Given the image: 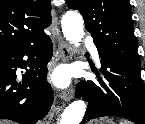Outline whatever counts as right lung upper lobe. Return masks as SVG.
Returning <instances> with one entry per match:
<instances>
[{
    "label": "right lung upper lobe",
    "instance_id": "obj_1",
    "mask_svg": "<svg viewBox=\"0 0 145 124\" xmlns=\"http://www.w3.org/2000/svg\"><path fill=\"white\" fill-rule=\"evenodd\" d=\"M51 20L50 0H0V49L39 41Z\"/></svg>",
    "mask_w": 145,
    "mask_h": 124
}]
</instances>
